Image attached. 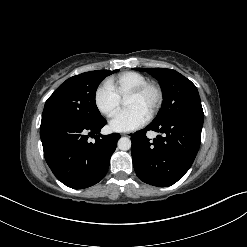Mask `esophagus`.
Returning <instances> with one entry per match:
<instances>
[{
  "label": "esophagus",
  "instance_id": "obj_1",
  "mask_svg": "<svg viewBox=\"0 0 247 247\" xmlns=\"http://www.w3.org/2000/svg\"><path fill=\"white\" fill-rule=\"evenodd\" d=\"M131 133L129 132V133H123V136H127V137H131Z\"/></svg>",
  "mask_w": 247,
  "mask_h": 247
}]
</instances>
